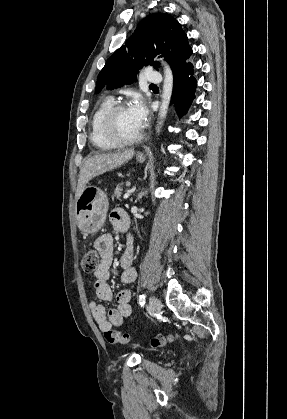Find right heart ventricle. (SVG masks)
<instances>
[{
    "label": "right heart ventricle",
    "mask_w": 287,
    "mask_h": 419,
    "mask_svg": "<svg viewBox=\"0 0 287 419\" xmlns=\"http://www.w3.org/2000/svg\"><path fill=\"white\" fill-rule=\"evenodd\" d=\"M114 105V100L111 97H106L101 101L95 109L89 127V138L91 143L98 149L110 150L116 148L118 145L111 142L102 131V120L106 112Z\"/></svg>",
    "instance_id": "e07e8e85"
}]
</instances>
